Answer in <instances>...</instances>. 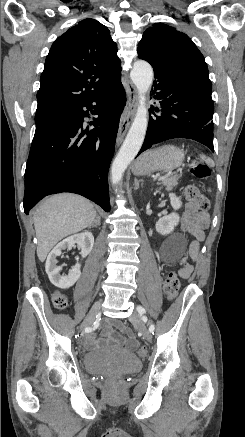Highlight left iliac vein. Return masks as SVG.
<instances>
[{
	"mask_svg": "<svg viewBox=\"0 0 245 437\" xmlns=\"http://www.w3.org/2000/svg\"><path fill=\"white\" fill-rule=\"evenodd\" d=\"M129 320L131 323H133L135 326H137L140 331L142 332L143 338L147 341H151L152 335L146 325L143 323V321L140 319V316L137 312H133L131 316L129 317Z\"/></svg>",
	"mask_w": 245,
	"mask_h": 437,
	"instance_id": "4c4485c4",
	"label": "left iliac vein"
}]
</instances>
